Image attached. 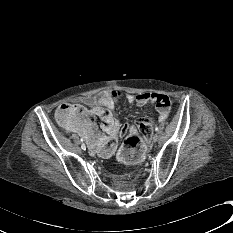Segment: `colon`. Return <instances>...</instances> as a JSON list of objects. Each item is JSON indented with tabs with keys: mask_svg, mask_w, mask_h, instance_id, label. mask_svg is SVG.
I'll return each instance as SVG.
<instances>
[{
	"mask_svg": "<svg viewBox=\"0 0 233 233\" xmlns=\"http://www.w3.org/2000/svg\"><path fill=\"white\" fill-rule=\"evenodd\" d=\"M162 104H168V99H162ZM160 102L154 101L156 106ZM80 111V107L74 104L66 103L59 107L57 111V118L59 122L63 125H69L72 123L75 115ZM109 114V111L105 108H98L94 111V116L101 121ZM138 129L137 131H131L124 140V149H127L130 146H140L145 139L150 136L151 128L148 124V121L143 118L139 119L137 122Z\"/></svg>",
	"mask_w": 233,
	"mask_h": 233,
	"instance_id": "1",
	"label": "colon"
}]
</instances>
